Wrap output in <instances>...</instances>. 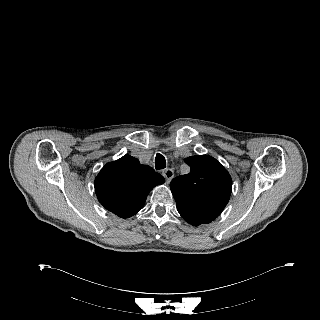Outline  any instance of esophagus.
Instances as JSON below:
<instances>
[{
    "instance_id": "obj_1",
    "label": "esophagus",
    "mask_w": 320,
    "mask_h": 320,
    "mask_svg": "<svg viewBox=\"0 0 320 320\" xmlns=\"http://www.w3.org/2000/svg\"><path fill=\"white\" fill-rule=\"evenodd\" d=\"M162 175L166 179L167 183H169L174 176V171L172 169L168 168L162 172Z\"/></svg>"
}]
</instances>
